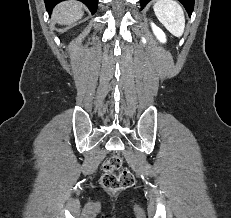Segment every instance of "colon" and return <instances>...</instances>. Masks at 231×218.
Listing matches in <instances>:
<instances>
[{"mask_svg": "<svg viewBox=\"0 0 231 218\" xmlns=\"http://www.w3.org/2000/svg\"><path fill=\"white\" fill-rule=\"evenodd\" d=\"M122 158L115 154L109 156L103 163V174L101 176V185L108 191H119L131 187L135 178L133 173L128 169H122Z\"/></svg>", "mask_w": 231, "mask_h": 218, "instance_id": "5ec220e1", "label": "colon"}]
</instances>
